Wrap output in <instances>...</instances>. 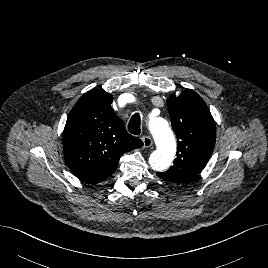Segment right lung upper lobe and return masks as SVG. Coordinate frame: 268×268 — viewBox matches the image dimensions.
I'll return each instance as SVG.
<instances>
[{"label":"right lung upper lobe","instance_id":"1","mask_svg":"<svg viewBox=\"0 0 268 268\" xmlns=\"http://www.w3.org/2000/svg\"><path fill=\"white\" fill-rule=\"evenodd\" d=\"M104 90L86 92L70 111L63 132L64 159L83 182L99 183L117 169L120 157L143 146L130 135Z\"/></svg>","mask_w":268,"mask_h":268}]
</instances>
